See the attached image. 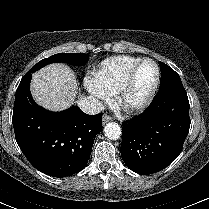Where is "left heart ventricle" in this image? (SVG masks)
Listing matches in <instances>:
<instances>
[{
    "instance_id": "left-heart-ventricle-1",
    "label": "left heart ventricle",
    "mask_w": 209,
    "mask_h": 209,
    "mask_svg": "<svg viewBox=\"0 0 209 209\" xmlns=\"http://www.w3.org/2000/svg\"><path fill=\"white\" fill-rule=\"evenodd\" d=\"M155 80V67L143 62L135 70L131 85L126 94V102L135 105L143 101L150 92Z\"/></svg>"
}]
</instances>
